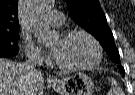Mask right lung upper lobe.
I'll use <instances>...</instances> for the list:
<instances>
[{"label":"right lung upper lobe","mask_w":135,"mask_h":95,"mask_svg":"<svg viewBox=\"0 0 135 95\" xmlns=\"http://www.w3.org/2000/svg\"><path fill=\"white\" fill-rule=\"evenodd\" d=\"M18 0H0V31L19 29Z\"/></svg>","instance_id":"1"}]
</instances>
